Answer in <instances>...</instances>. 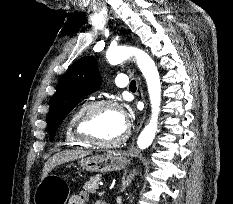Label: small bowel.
<instances>
[{
    "label": "small bowel",
    "mask_w": 233,
    "mask_h": 204,
    "mask_svg": "<svg viewBox=\"0 0 233 204\" xmlns=\"http://www.w3.org/2000/svg\"><path fill=\"white\" fill-rule=\"evenodd\" d=\"M87 200V194L85 192H80L78 194L72 195L69 199L68 204H85ZM101 204V203H97Z\"/></svg>",
    "instance_id": "small-bowel-1"
}]
</instances>
